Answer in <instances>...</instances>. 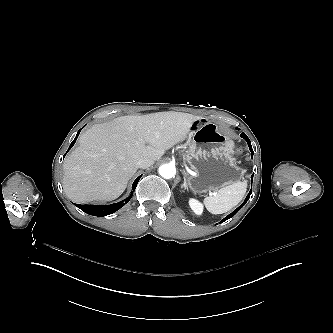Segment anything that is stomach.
<instances>
[{
  "instance_id": "stomach-1",
  "label": "stomach",
  "mask_w": 333,
  "mask_h": 333,
  "mask_svg": "<svg viewBox=\"0 0 333 333\" xmlns=\"http://www.w3.org/2000/svg\"><path fill=\"white\" fill-rule=\"evenodd\" d=\"M193 125V124H192ZM188 132V148L184 157L195 176L188 177V186L195 194L218 191L239 181L245 170L237 165L234 143L217 124L200 118Z\"/></svg>"
}]
</instances>
